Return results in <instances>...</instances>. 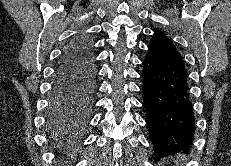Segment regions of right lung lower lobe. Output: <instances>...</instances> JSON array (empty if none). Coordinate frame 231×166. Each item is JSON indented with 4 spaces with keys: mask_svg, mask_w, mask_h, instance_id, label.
<instances>
[{
    "mask_svg": "<svg viewBox=\"0 0 231 166\" xmlns=\"http://www.w3.org/2000/svg\"><path fill=\"white\" fill-rule=\"evenodd\" d=\"M95 93L91 39L78 35L66 47L53 78L46 124L56 136L80 132L90 115Z\"/></svg>",
    "mask_w": 231,
    "mask_h": 166,
    "instance_id": "right-lung-lower-lobe-1",
    "label": "right lung lower lobe"
}]
</instances>
